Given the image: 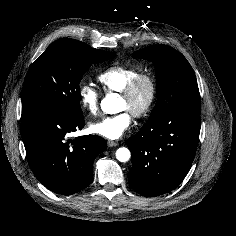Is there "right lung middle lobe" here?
Here are the masks:
<instances>
[{"label": "right lung middle lobe", "instance_id": "right-lung-middle-lobe-1", "mask_svg": "<svg viewBox=\"0 0 236 236\" xmlns=\"http://www.w3.org/2000/svg\"><path fill=\"white\" fill-rule=\"evenodd\" d=\"M113 52L61 38L48 46L29 69L22 92V115L39 109L82 114L80 87L84 71L109 60Z\"/></svg>", "mask_w": 236, "mask_h": 236}]
</instances>
